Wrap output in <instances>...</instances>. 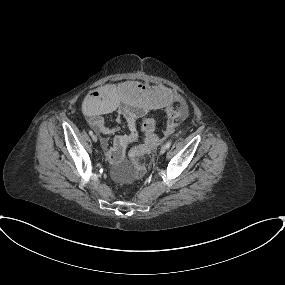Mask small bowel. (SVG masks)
Here are the masks:
<instances>
[{"label": "small bowel", "mask_w": 285, "mask_h": 285, "mask_svg": "<svg viewBox=\"0 0 285 285\" xmlns=\"http://www.w3.org/2000/svg\"><path fill=\"white\" fill-rule=\"evenodd\" d=\"M162 108H165L168 120L171 114H176L179 121L187 117L188 103L180 95L158 85L137 81L103 85L91 91L83 103L88 123L100 135L101 146L115 169L123 161L126 147L138 139L137 121L151 110ZM108 114L116 115L117 125H107L104 116ZM121 121L126 123L127 133L117 135L111 141L110 137Z\"/></svg>", "instance_id": "c3829d8e"}]
</instances>
